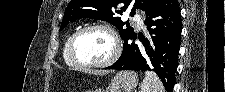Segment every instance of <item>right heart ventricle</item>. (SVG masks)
Returning a JSON list of instances; mask_svg holds the SVG:
<instances>
[{
  "label": "right heart ventricle",
  "instance_id": "1",
  "mask_svg": "<svg viewBox=\"0 0 225 92\" xmlns=\"http://www.w3.org/2000/svg\"><path fill=\"white\" fill-rule=\"evenodd\" d=\"M74 32H71L67 35L65 42H64V46H63V51H62V55H63V59L65 61V63L71 67H74L75 65L72 63L70 56L68 54V44L69 41L71 39V37L73 36Z\"/></svg>",
  "mask_w": 225,
  "mask_h": 92
}]
</instances>
